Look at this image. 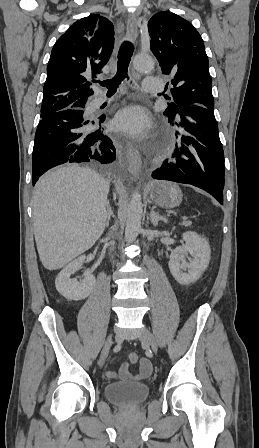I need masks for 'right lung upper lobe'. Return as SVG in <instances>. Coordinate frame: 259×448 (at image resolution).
I'll return each mask as SVG.
<instances>
[{
    "instance_id": "1",
    "label": "right lung upper lobe",
    "mask_w": 259,
    "mask_h": 448,
    "mask_svg": "<svg viewBox=\"0 0 259 448\" xmlns=\"http://www.w3.org/2000/svg\"><path fill=\"white\" fill-rule=\"evenodd\" d=\"M113 46L114 26L107 18L93 14L71 25L51 51L41 116L84 105L94 94L88 79L101 72Z\"/></svg>"
}]
</instances>
